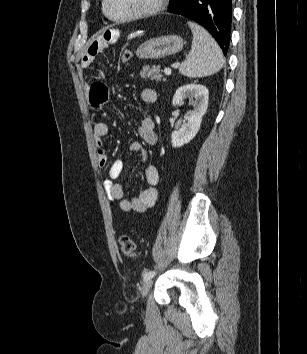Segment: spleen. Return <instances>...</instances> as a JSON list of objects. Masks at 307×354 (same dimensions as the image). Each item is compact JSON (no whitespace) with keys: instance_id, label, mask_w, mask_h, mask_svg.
<instances>
[{"instance_id":"spleen-1","label":"spleen","mask_w":307,"mask_h":354,"mask_svg":"<svg viewBox=\"0 0 307 354\" xmlns=\"http://www.w3.org/2000/svg\"><path fill=\"white\" fill-rule=\"evenodd\" d=\"M193 33L191 51L179 71L182 75L196 78L217 73L223 66V54L215 39L201 26L189 22Z\"/></svg>"}]
</instances>
